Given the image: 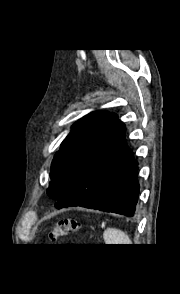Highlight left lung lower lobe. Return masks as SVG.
<instances>
[{"instance_id":"obj_1","label":"left lung lower lobe","mask_w":180,"mask_h":294,"mask_svg":"<svg viewBox=\"0 0 180 294\" xmlns=\"http://www.w3.org/2000/svg\"><path fill=\"white\" fill-rule=\"evenodd\" d=\"M138 163L119 121L55 207H85L133 216L138 200Z\"/></svg>"}]
</instances>
